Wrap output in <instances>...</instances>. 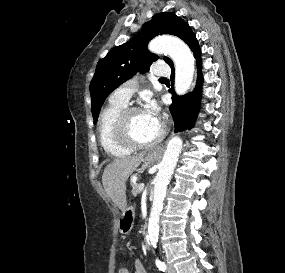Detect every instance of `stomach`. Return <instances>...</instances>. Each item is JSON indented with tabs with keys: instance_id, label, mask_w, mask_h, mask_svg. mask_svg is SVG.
<instances>
[{
	"instance_id": "0dacf381",
	"label": "stomach",
	"mask_w": 285,
	"mask_h": 273,
	"mask_svg": "<svg viewBox=\"0 0 285 273\" xmlns=\"http://www.w3.org/2000/svg\"><path fill=\"white\" fill-rule=\"evenodd\" d=\"M159 155L156 152H149L145 157L146 163H153L158 159ZM135 216L134 208L131 206H128L126 210L124 211L123 218L121 220V223L124 224L126 221L133 219ZM129 232L128 229L121 228L122 234H127Z\"/></svg>"
}]
</instances>
